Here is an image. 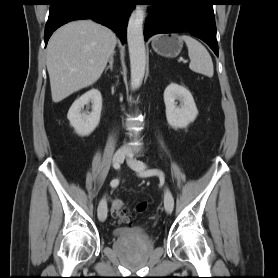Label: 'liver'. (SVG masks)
<instances>
[{"label":"liver","mask_w":278,"mask_h":278,"mask_svg":"<svg viewBox=\"0 0 278 278\" xmlns=\"http://www.w3.org/2000/svg\"><path fill=\"white\" fill-rule=\"evenodd\" d=\"M117 43L115 33L91 20L60 27L47 46L52 100L58 103L101 76Z\"/></svg>","instance_id":"6515ba94"}]
</instances>
